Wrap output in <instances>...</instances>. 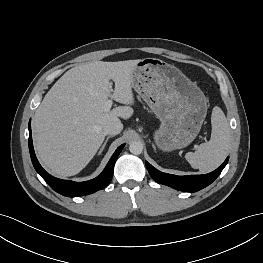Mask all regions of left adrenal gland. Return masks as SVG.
Returning <instances> with one entry per match:
<instances>
[{
    "label": "left adrenal gland",
    "instance_id": "obj_1",
    "mask_svg": "<svg viewBox=\"0 0 263 263\" xmlns=\"http://www.w3.org/2000/svg\"><path fill=\"white\" fill-rule=\"evenodd\" d=\"M153 148L155 149V145L153 144Z\"/></svg>",
    "mask_w": 263,
    "mask_h": 263
}]
</instances>
